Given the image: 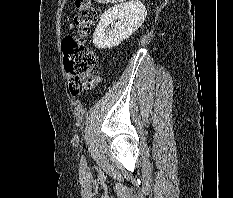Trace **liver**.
<instances>
[{
	"mask_svg": "<svg viewBox=\"0 0 233 198\" xmlns=\"http://www.w3.org/2000/svg\"><path fill=\"white\" fill-rule=\"evenodd\" d=\"M97 3H101V4H116V3H122L125 0H94Z\"/></svg>",
	"mask_w": 233,
	"mask_h": 198,
	"instance_id": "1",
	"label": "liver"
}]
</instances>
